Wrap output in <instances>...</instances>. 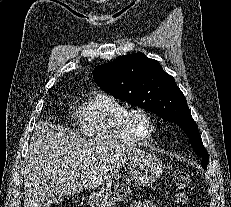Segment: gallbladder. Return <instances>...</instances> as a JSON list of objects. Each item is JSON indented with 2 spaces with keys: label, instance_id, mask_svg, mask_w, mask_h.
<instances>
[{
  "label": "gallbladder",
  "instance_id": "obj_1",
  "mask_svg": "<svg viewBox=\"0 0 231 207\" xmlns=\"http://www.w3.org/2000/svg\"><path fill=\"white\" fill-rule=\"evenodd\" d=\"M56 201H57V198H56L55 195H50V196H48V197L46 198L47 204L54 203V202H56Z\"/></svg>",
  "mask_w": 231,
  "mask_h": 207
}]
</instances>
